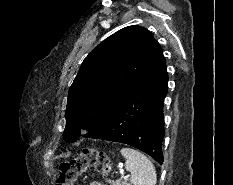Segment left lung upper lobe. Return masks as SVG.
Returning a JSON list of instances; mask_svg holds the SVG:
<instances>
[{
  "label": "left lung upper lobe",
  "instance_id": "5c2ea615",
  "mask_svg": "<svg viewBox=\"0 0 233 185\" xmlns=\"http://www.w3.org/2000/svg\"><path fill=\"white\" fill-rule=\"evenodd\" d=\"M151 32L125 27L84 59L69 89L63 138L76 141L81 129L93 131L104 123L123 95L162 58Z\"/></svg>",
  "mask_w": 233,
  "mask_h": 185
}]
</instances>
